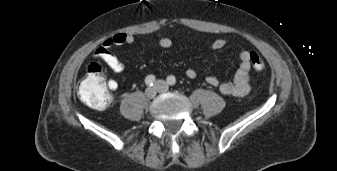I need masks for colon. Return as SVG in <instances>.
Returning a JSON list of instances; mask_svg holds the SVG:
<instances>
[{
    "mask_svg": "<svg viewBox=\"0 0 337 171\" xmlns=\"http://www.w3.org/2000/svg\"><path fill=\"white\" fill-rule=\"evenodd\" d=\"M250 62L255 71L259 72L265 68L264 61L255 52L250 53ZM78 96L84 104L96 110L110 105L112 96L98 63L91 62L88 65L86 75L78 87Z\"/></svg>",
    "mask_w": 337,
    "mask_h": 171,
    "instance_id": "obj_1",
    "label": "colon"
}]
</instances>
